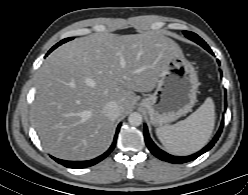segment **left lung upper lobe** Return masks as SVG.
Wrapping results in <instances>:
<instances>
[{"instance_id": "5c2ea615", "label": "left lung upper lobe", "mask_w": 248, "mask_h": 195, "mask_svg": "<svg viewBox=\"0 0 248 195\" xmlns=\"http://www.w3.org/2000/svg\"><path fill=\"white\" fill-rule=\"evenodd\" d=\"M184 35L189 38L190 40L196 42L197 44L201 45L203 48L207 49L209 46L204 42L203 39H201L197 34L190 32V31H184Z\"/></svg>"}]
</instances>
